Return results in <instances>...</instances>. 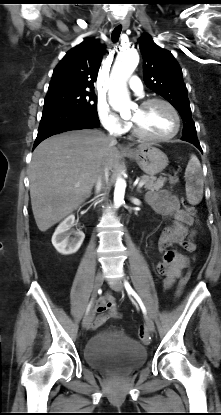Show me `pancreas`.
Instances as JSON below:
<instances>
[{
  "label": "pancreas",
  "mask_w": 221,
  "mask_h": 415,
  "mask_svg": "<svg viewBox=\"0 0 221 415\" xmlns=\"http://www.w3.org/2000/svg\"><path fill=\"white\" fill-rule=\"evenodd\" d=\"M141 180L145 181L144 188L146 190L154 191L160 190L164 186L167 179L164 177L156 178L154 176H143Z\"/></svg>",
  "instance_id": "1"
}]
</instances>
